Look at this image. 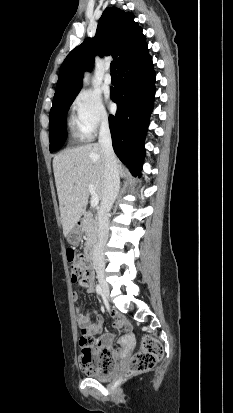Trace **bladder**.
Masks as SVG:
<instances>
[{"label":"bladder","instance_id":"bladder-1","mask_svg":"<svg viewBox=\"0 0 233 413\" xmlns=\"http://www.w3.org/2000/svg\"><path fill=\"white\" fill-rule=\"evenodd\" d=\"M112 376H113L112 372L108 374H104V375L95 373V374H91L90 378L98 380V381H108L112 378Z\"/></svg>","mask_w":233,"mask_h":413}]
</instances>
